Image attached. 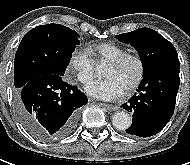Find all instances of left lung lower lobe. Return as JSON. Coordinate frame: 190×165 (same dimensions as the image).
Returning <instances> with one entry per match:
<instances>
[{
    "instance_id": "left-lung-lower-lobe-1",
    "label": "left lung lower lobe",
    "mask_w": 190,
    "mask_h": 165,
    "mask_svg": "<svg viewBox=\"0 0 190 165\" xmlns=\"http://www.w3.org/2000/svg\"><path fill=\"white\" fill-rule=\"evenodd\" d=\"M180 63H170L144 75L138 95L121 105L133 112L132 125L126 132L149 137L160 132L173 115L180 84Z\"/></svg>"
}]
</instances>
